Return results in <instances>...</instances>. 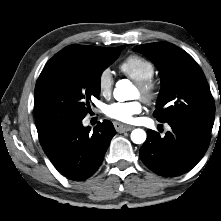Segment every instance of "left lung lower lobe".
<instances>
[{
    "label": "left lung lower lobe",
    "instance_id": "1",
    "mask_svg": "<svg viewBox=\"0 0 221 221\" xmlns=\"http://www.w3.org/2000/svg\"><path fill=\"white\" fill-rule=\"evenodd\" d=\"M172 130L161 137L147 131L139 155L147 168L162 176H179L190 171L204 156L210 132L186 120L168 122Z\"/></svg>",
    "mask_w": 221,
    "mask_h": 221
}]
</instances>
